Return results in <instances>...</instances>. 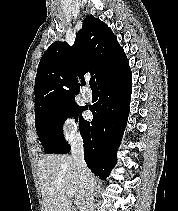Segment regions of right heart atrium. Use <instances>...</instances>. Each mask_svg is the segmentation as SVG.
<instances>
[{
	"mask_svg": "<svg viewBox=\"0 0 178 211\" xmlns=\"http://www.w3.org/2000/svg\"><path fill=\"white\" fill-rule=\"evenodd\" d=\"M57 130L60 138L65 142L79 137L80 127L73 111H68L60 117Z\"/></svg>",
	"mask_w": 178,
	"mask_h": 211,
	"instance_id": "d8ad5b80",
	"label": "right heart atrium"
}]
</instances>
